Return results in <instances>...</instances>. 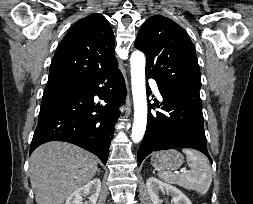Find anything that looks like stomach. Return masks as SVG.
<instances>
[{"label": "stomach", "instance_id": "1", "mask_svg": "<svg viewBox=\"0 0 253 204\" xmlns=\"http://www.w3.org/2000/svg\"><path fill=\"white\" fill-rule=\"evenodd\" d=\"M184 162L183 155L177 150L155 153L151 163L158 171H172L178 169Z\"/></svg>", "mask_w": 253, "mask_h": 204}]
</instances>
